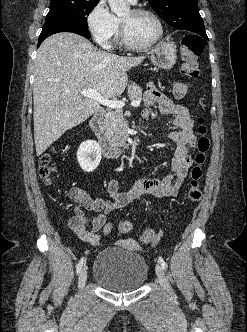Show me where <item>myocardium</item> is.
Wrapping results in <instances>:
<instances>
[{
  "mask_svg": "<svg viewBox=\"0 0 247 332\" xmlns=\"http://www.w3.org/2000/svg\"><path fill=\"white\" fill-rule=\"evenodd\" d=\"M131 11L137 15L146 14V15L153 17L158 25L159 32H158V35L155 37V39H153L151 42H149L147 44H136L131 40V38L128 34V31H127V27H126L125 23L121 20L120 33H121L122 41L126 47H128L132 50H137V51L148 50V49L152 48L154 45H156L163 38V36H164L163 22H162L161 18L159 17V15L150 9L133 8Z\"/></svg>",
  "mask_w": 247,
  "mask_h": 332,
  "instance_id": "myocardium-1",
  "label": "myocardium"
}]
</instances>
